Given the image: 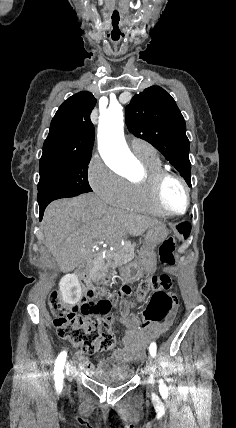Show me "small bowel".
Here are the masks:
<instances>
[{"instance_id":"small-bowel-1","label":"small bowel","mask_w":236,"mask_h":428,"mask_svg":"<svg viewBox=\"0 0 236 428\" xmlns=\"http://www.w3.org/2000/svg\"><path fill=\"white\" fill-rule=\"evenodd\" d=\"M120 323L124 328V335L122 338V347L115 350L113 358L117 360L136 362L144 357L145 351L152 340L158 333L163 332L171 320L167 321L164 325H141L139 320L129 315L127 305H124L121 311ZM78 364L85 370H93L94 366L86 357L83 351H78L75 355ZM106 361H100V365H105Z\"/></svg>"}]
</instances>
